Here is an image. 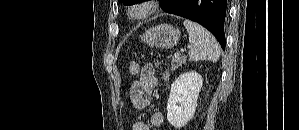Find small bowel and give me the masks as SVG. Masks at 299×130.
Instances as JSON below:
<instances>
[{
  "instance_id": "1",
  "label": "small bowel",
  "mask_w": 299,
  "mask_h": 130,
  "mask_svg": "<svg viewBox=\"0 0 299 130\" xmlns=\"http://www.w3.org/2000/svg\"><path fill=\"white\" fill-rule=\"evenodd\" d=\"M158 84L153 64L146 63L140 70L139 78L133 82L130 88V97L137 110H146L150 106V96ZM151 124L159 127L163 123V115L160 112H153L150 118ZM132 130H150L143 121H136Z\"/></svg>"
}]
</instances>
